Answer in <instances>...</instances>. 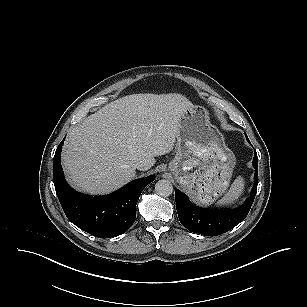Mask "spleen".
Wrapping results in <instances>:
<instances>
[{
    "instance_id": "obj_1",
    "label": "spleen",
    "mask_w": 307,
    "mask_h": 307,
    "mask_svg": "<svg viewBox=\"0 0 307 307\" xmlns=\"http://www.w3.org/2000/svg\"><path fill=\"white\" fill-rule=\"evenodd\" d=\"M244 188H245L244 178L241 176H238L232 183L228 192L224 195L222 199H220L216 203V205L225 206V205L233 204L243 194Z\"/></svg>"
}]
</instances>
